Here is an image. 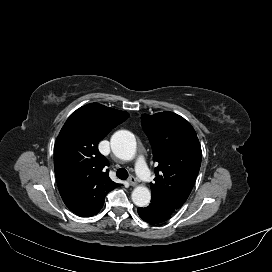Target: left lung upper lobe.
<instances>
[{
    "label": "left lung upper lobe",
    "instance_id": "1",
    "mask_svg": "<svg viewBox=\"0 0 272 272\" xmlns=\"http://www.w3.org/2000/svg\"><path fill=\"white\" fill-rule=\"evenodd\" d=\"M141 123L158 162L155 182L150 183V204L173 214L194 186L201 165V145L191 124L175 113L143 114Z\"/></svg>",
    "mask_w": 272,
    "mask_h": 272
}]
</instances>
